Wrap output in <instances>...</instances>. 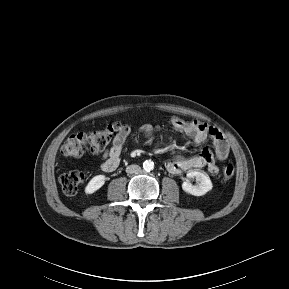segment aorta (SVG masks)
I'll list each match as a JSON object with an SVG mask.
<instances>
[{
  "mask_svg": "<svg viewBox=\"0 0 289 289\" xmlns=\"http://www.w3.org/2000/svg\"><path fill=\"white\" fill-rule=\"evenodd\" d=\"M143 168L145 171H151L154 169V163L151 160H146L143 163Z\"/></svg>",
  "mask_w": 289,
  "mask_h": 289,
  "instance_id": "762f6f07",
  "label": "aorta"
}]
</instances>
